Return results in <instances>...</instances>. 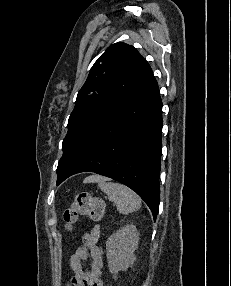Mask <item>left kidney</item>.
<instances>
[{"instance_id": "5707ae66", "label": "left kidney", "mask_w": 231, "mask_h": 286, "mask_svg": "<svg viewBox=\"0 0 231 286\" xmlns=\"http://www.w3.org/2000/svg\"><path fill=\"white\" fill-rule=\"evenodd\" d=\"M139 232L136 226L129 224L116 231L106 242L109 271L116 275L132 267L136 259L134 251L138 247Z\"/></svg>"}]
</instances>
